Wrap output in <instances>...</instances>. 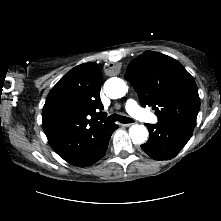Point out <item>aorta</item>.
<instances>
[{"instance_id": "obj_1", "label": "aorta", "mask_w": 221, "mask_h": 221, "mask_svg": "<svg viewBox=\"0 0 221 221\" xmlns=\"http://www.w3.org/2000/svg\"><path fill=\"white\" fill-rule=\"evenodd\" d=\"M128 90L126 83L117 77L108 79L104 84V92L111 99L123 97ZM129 136L134 144H142L148 138V130L144 125H132L129 128Z\"/></svg>"}]
</instances>
